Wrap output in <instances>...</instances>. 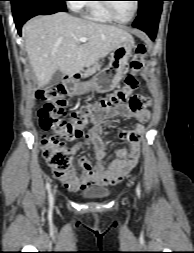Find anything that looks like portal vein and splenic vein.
Segmentation results:
<instances>
[{
  "label": "portal vein and splenic vein",
  "instance_id": "obj_1",
  "mask_svg": "<svg viewBox=\"0 0 194 253\" xmlns=\"http://www.w3.org/2000/svg\"><path fill=\"white\" fill-rule=\"evenodd\" d=\"M79 41L82 42V43H85V42H87V39L86 38H80Z\"/></svg>",
  "mask_w": 194,
  "mask_h": 253
}]
</instances>
